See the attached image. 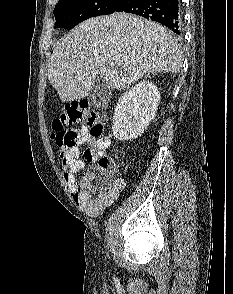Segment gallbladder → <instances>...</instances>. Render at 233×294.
<instances>
[{"label": "gallbladder", "instance_id": "obj_1", "mask_svg": "<svg viewBox=\"0 0 233 294\" xmlns=\"http://www.w3.org/2000/svg\"><path fill=\"white\" fill-rule=\"evenodd\" d=\"M110 98V88L103 81H99V83L93 86V89L90 93V99L94 105H105L110 100Z\"/></svg>", "mask_w": 233, "mask_h": 294}]
</instances>
